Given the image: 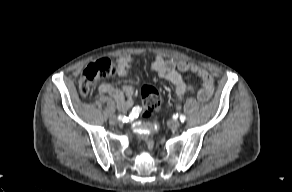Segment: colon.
<instances>
[{
  "mask_svg": "<svg viewBox=\"0 0 292 192\" xmlns=\"http://www.w3.org/2000/svg\"><path fill=\"white\" fill-rule=\"evenodd\" d=\"M117 73L116 66L107 58H102L90 63L80 77L79 91L81 95H88L91 86L97 79L114 76ZM141 94L143 106L142 115L148 118L161 106L163 97L161 92L152 86H144Z\"/></svg>",
  "mask_w": 292,
  "mask_h": 192,
  "instance_id": "colon-1",
  "label": "colon"
}]
</instances>
